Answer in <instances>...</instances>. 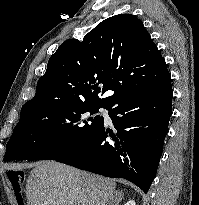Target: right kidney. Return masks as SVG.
Listing matches in <instances>:
<instances>
[{
	"label": "right kidney",
	"mask_w": 199,
	"mask_h": 205,
	"mask_svg": "<svg viewBox=\"0 0 199 205\" xmlns=\"http://www.w3.org/2000/svg\"><path fill=\"white\" fill-rule=\"evenodd\" d=\"M125 205H136L135 201L130 200Z\"/></svg>",
	"instance_id": "obj_1"
}]
</instances>
